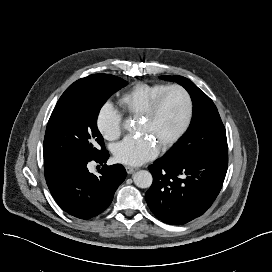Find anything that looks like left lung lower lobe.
Segmentation results:
<instances>
[{"instance_id":"obj_1","label":"left lung lower lobe","mask_w":272,"mask_h":272,"mask_svg":"<svg viewBox=\"0 0 272 272\" xmlns=\"http://www.w3.org/2000/svg\"><path fill=\"white\" fill-rule=\"evenodd\" d=\"M227 166L228 154L158 159L149 166L153 175L145 195L149 208L158 219L171 225L199 217L219 194Z\"/></svg>"}]
</instances>
